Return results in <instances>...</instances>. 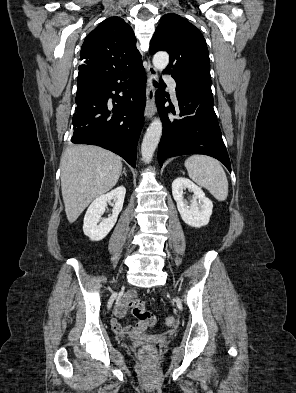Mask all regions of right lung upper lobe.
Here are the masks:
<instances>
[{
	"label": "right lung upper lobe",
	"instance_id": "obj_1",
	"mask_svg": "<svg viewBox=\"0 0 296 393\" xmlns=\"http://www.w3.org/2000/svg\"><path fill=\"white\" fill-rule=\"evenodd\" d=\"M81 65L102 73H121L142 65L132 28L110 17L90 32L81 47Z\"/></svg>",
	"mask_w": 296,
	"mask_h": 393
}]
</instances>
